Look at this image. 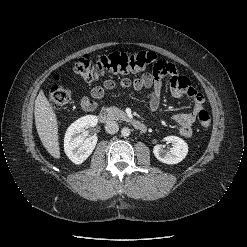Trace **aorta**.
Listing matches in <instances>:
<instances>
[{
	"instance_id": "obj_1",
	"label": "aorta",
	"mask_w": 247,
	"mask_h": 247,
	"mask_svg": "<svg viewBox=\"0 0 247 247\" xmlns=\"http://www.w3.org/2000/svg\"><path fill=\"white\" fill-rule=\"evenodd\" d=\"M130 129L128 127H124L122 128L121 130V135L124 136V137H128L130 135Z\"/></svg>"
}]
</instances>
